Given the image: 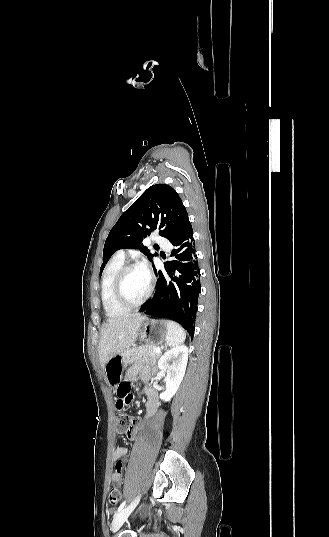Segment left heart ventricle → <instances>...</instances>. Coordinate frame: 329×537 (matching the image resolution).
Here are the masks:
<instances>
[{
	"label": "left heart ventricle",
	"instance_id": "left-heart-ventricle-1",
	"mask_svg": "<svg viewBox=\"0 0 329 537\" xmlns=\"http://www.w3.org/2000/svg\"><path fill=\"white\" fill-rule=\"evenodd\" d=\"M148 286L149 279L139 268H135L127 273L123 283V292L128 301L136 302L144 296Z\"/></svg>",
	"mask_w": 329,
	"mask_h": 537
}]
</instances>
